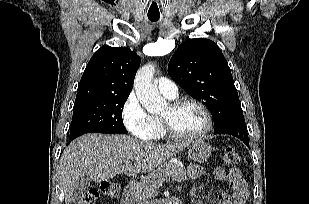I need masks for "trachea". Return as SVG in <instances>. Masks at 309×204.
<instances>
[{"label":"trachea","instance_id":"trachea-1","mask_svg":"<svg viewBox=\"0 0 309 204\" xmlns=\"http://www.w3.org/2000/svg\"><path fill=\"white\" fill-rule=\"evenodd\" d=\"M149 20L152 22H156L158 21L159 17H152V16H148Z\"/></svg>","mask_w":309,"mask_h":204}]
</instances>
